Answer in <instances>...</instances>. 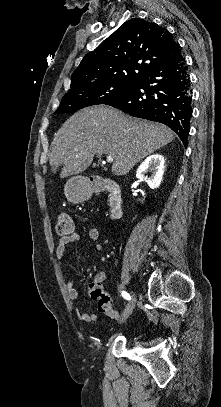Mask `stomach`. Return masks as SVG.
I'll list each match as a JSON object with an SVG mask.
<instances>
[{"mask_svg": "<svg viewBox=\"0 0 221 407\" xmlns=\"http://www.w3.org/2000/svg\"><path fill=\"white\" fill-rule=\"evenodd\" d=\"M64 193L67 200L72 204L82 203L92 195L86 178L82 176L70 178L64 186Z\"/></svg>", "mask_w": 221, "mask_h": 407, "instance_id": "0dacf381", "label": "stomach"}]
</instances>
